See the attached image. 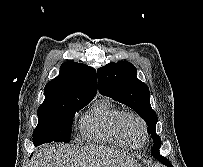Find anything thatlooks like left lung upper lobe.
Wrapping results in <instances>:
<instances>
[{"label": "left lung upper lobe", "mask_w": 203, "mask_h": 167, "mask_svg": "<svg viewBox=\"0 0 203 167\" xmlns=\"http://www.w3.org/2000/svg\"><path fill=\"white\" fill-rule=\"evenodd\" d=\"M97 73L100 93L129 106L146 121L147 131L155 141L151 154L162 163L167 161L158 155L161 138L156 134L157 115L149 101L148 86L136 77V67L130 62L119 61L99 68Z\"/></svg>", "instance_id": "left-lung-upper-lobe-1"}]
</instances>
